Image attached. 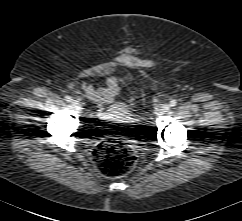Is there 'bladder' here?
I'll return each mask as SVG.
<instances>
[{"label": "bladder", "mask_w": 242, "mask_h": 221, "mask_svg": "<svg viewBox=\"0 0 242 221\" xmlns=\"http://www.w3.org/2000/svg\"><path fill=\"white\" fill-rule=\"evenodd\" d=\"M119 106L121 107V109H123L125 111H127L129 109V107L124 103H119Z\"/></svg>", "instance_id": "bladder-1"}]
</instances>
